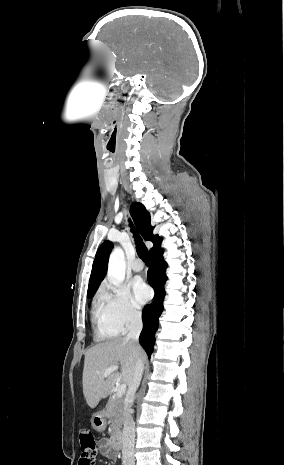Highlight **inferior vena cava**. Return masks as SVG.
Masks as SVG:
<instances>
[{
	"label": "inferior vena cava",
	"mask_w": 284,
	"mask_h": 465,
	"mask_svg": "<svg viewBox=\"0 0 284 465\" xmlns=\"http://www.w3.org/2000/svg\"><path fill=\"white\" fill-rule=\"evenodd\" d=\"M129 333L126 335V341H138L142 331V319L140 313L130 315L128 325ZM144 365L140 359L136 363L133 373V379L128 387L124 411H123V433H122V461L123 465H135L134 459V441H135V423L132 419L131 407L134 401V395L141 383Z\"/></svg>",
	"instance_id": "inferior-vena-cava-1"
}]
</instances>
